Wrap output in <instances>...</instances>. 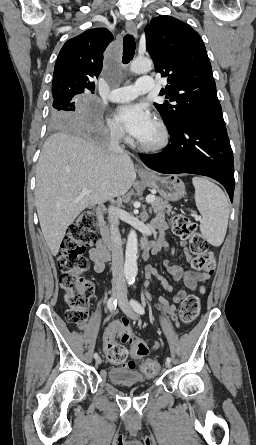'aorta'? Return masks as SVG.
Listing matches in <instances>:
<instances>
[{
    "mask_svg": "<svg viewBox=\"0 0 256 445\" xmlns=\"http://www.w3.org/2000/svg\"><path fill=\"white\" fill-rule=\"evenodd\" d=\"M152 69V61L148 58H136L130 64L133 73H147ZM138 241L134 230L130 231L125 251L124 276L127 282L132 283L137 276Z\"/></svg>",
    "mask_w": 256,
    "mask_h": 445,
    "instance_id": "762f6f07",
    "label": "aorta"
}]
</instances>
